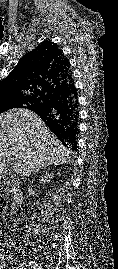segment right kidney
I'll list each match as a JSON object with an SVG mask.
<instances>
[{"label":"right kidney","mask_w":118,"mask_h":269,"mask_svg":"<svg viewBox=\"0 0 118 269\" xmlns=\"http://www.w3.org/2000/svg\"><path fill=\"white\" fill-rule=\"evenodd\" d=\"M52 176H53V174L52 173H46L43 177H42V179H41V182L42 183H48V182H50V180L52 179Z\"/></svg>","instance_id":"obj_1"}]
</instances>
